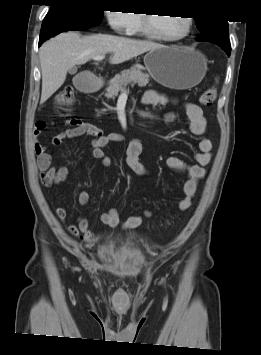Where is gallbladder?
Returning a JSON list of instances; mask_svg holds the SVG:
<instances>
[{"label":"gallbladder","mask_w":261,"mask_h":355,"mask_svg":"<svg viewBox=\"0 0 261 355\" xmlns=\"http://www.w3.org/2000/svg\"><path fill=\"white\" fill-rule=\"evenodd\" d=\"M76 72H77V67H75V66L69 69V73H71V74H74Z\"/></svg>","instance_id":"bac80fb5"}]
</instances>
